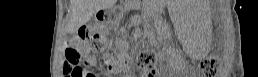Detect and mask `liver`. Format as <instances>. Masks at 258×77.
Masks as SVG:
<instances>
[{
  "label": "liver",
  "instance_id": "obj_1",
  "mask_svg": "<svg viewBox=\"0 0 258 77\" xmlns=\"http://www.w3.org/2000/svg\"><path fill=\"white\" fill-rule=\"evenodd\" d=\"M115 2L116 0H71L70 30L76 32L82 25L90 21L96 12L112 6Z\"/></svg>",
  "mask_w": 258,
  "mask_h": 77
}]
</instances>
